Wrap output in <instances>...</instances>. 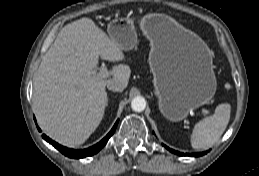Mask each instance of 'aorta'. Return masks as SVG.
Instances as JSON below:
<instances>
[{
	"instance_id": "obj_1",
	"label": "aorta",
	"mask_w": 259,
	"mask_h": 176,
	"mask_svg": "<svg viewBox=\"0 0 259 176\" xmlns=\"http://www.w3.org/2000/svg\"><path fill=\"white\" fill-rule=\"evenodd\" d=\"M146 106V102L143 98L141 97H135L132 101H131V108L133 111L135 112H141L145 109Z\"/></svg>"
}]
</instances>
